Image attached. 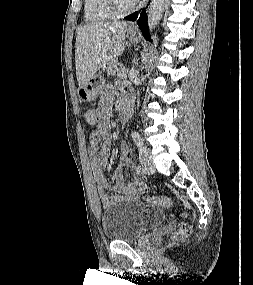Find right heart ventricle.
<instances>
[{
    "mask_svg": "<svg viewBox=\"0 0 253 285\" xmlns=\"http://www.w3.org/2000/svg\"><path fill=\"white\" fill-rule=\"evenodd\" d=\"M114 17L104 0H84V18L87 22H103Z\"/></svg>",
    "mask_w": 253,
    "mask_h": 285,
    "instance_id": "right-heart-ventricle-1",
    "label": "right heart ventricle"
}]
</instances>
